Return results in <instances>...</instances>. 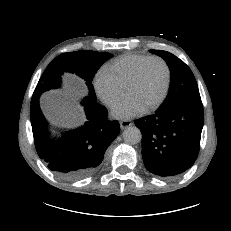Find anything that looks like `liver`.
Returning a JSON list of instances; mask_svg holds the SVG:
<instances>
[{
  "label": "liver",
  "instance_id": "liver-1",
  "mask_svg": "<svg viewBox=\"0 0 231 231\" xmlns=\"http://www.w3.org/2000/svg\"><path fill=\"white\" fill-rule=\"evenodd\" d=\"M46 112L53 119L60 120V121H65L67 119V117L61 113V111L59 110V108L57 107L54 101L47 102Z\"/></svg>",
  "mask_w": 231,
  "mask_h": 231
}]
</instances>
